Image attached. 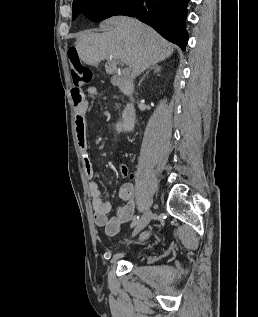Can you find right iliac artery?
<instances>
[{
    "label": "right iliac artery",
    "mask_w": 258,
    "mask_h": 317,
    "mask_svg": "<svg viewBox=\"0 0 258 317\" xmlns=\"http://www.w3.org/2000/svg\"><path fill=\"white\" fill-rule=\"evenodd\" d=\"M139 219L140 216H136V218H134L133 222L131 223V227H134L138 223Z\"/></svg>",
    "instance_id": "1"
}]
</instances>
